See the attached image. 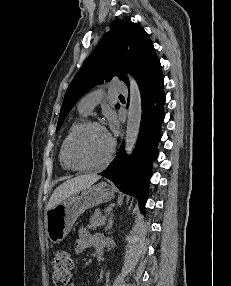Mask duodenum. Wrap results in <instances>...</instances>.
Listing matches in <instances>:
<instances>
[{"instance_id":"duodenum-1","label":"duodenum","mask_w":231,"mask_h":286,"mask_svg":"<svg viewBox=\"0 0 231 286\" xmlns=\"http://www.w3.org/2000/svg\"><path fill=\"white\" fill-rule=\"evenodd\" d=\"M96 256L99 261H102L104 259V239L98 242L96 248Z\"/></svg>"}]
</instances>
